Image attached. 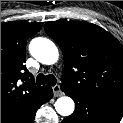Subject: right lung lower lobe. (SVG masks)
<instances>
[{"label":"right lung lower lobe","mask_w":123,"mask_h":123,"mask_svg":"<svg viewBox=\"0 0 123 123\" xmlns=\"http://www.w3.org/2000/svg\"><path fill=\"white\" fill-rule=\"evenodd\" d=\"M53 97V90L49 86H45L40 97L29 107L19 111L13 116L8 117L1 123H34L37 109Z\"/></svg>","instance_id":"1"}]
</instances>
